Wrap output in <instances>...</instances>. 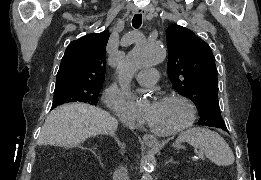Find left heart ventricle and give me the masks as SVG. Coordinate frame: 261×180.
Here are the masks:
<instances>
[{
	"instance_id": "b2bd125f",
	"label": "left heart ventricle",
	"mask_w": 261,
	"mask_h": 180,
	"mask_svg": "<svg viewBox=\"0 0 261 180\" xmlns=\"http://www.w3.org/2000/svg\"><path fill=\"white\" fill-rule=\"evenodd\" d=\"M148 106L143 102L141 108ZM186 106L177 99L161 98L155 101V105L144 120L150 133L154 135H166L179 131L186 117Z\"/></svg>"
}]
</instances>
